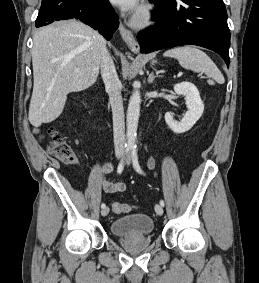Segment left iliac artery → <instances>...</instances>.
<instances>
[{"label": "left iliac artery", "mask_w": 259, "mask_h": 283, "mask_svg": "<svg viewBox=\"0 0 259 283\" xmlns=\"http://www.w3.org/2000/svg\"><path fill=\"white\" fill-rule=\"evenodd\" d=\"M131 150H132L131 156H132V162H133V167H134V169H135L138 173L144 174V172L142 171V169H141V167H140V165H139V162H138L137 147H136V146H133V147L131 148ZM160 205H161L162 207H164L165 203H164L163 200H160Z\"/></svg>", "instance_id": "obj_1"}]
</instances>
